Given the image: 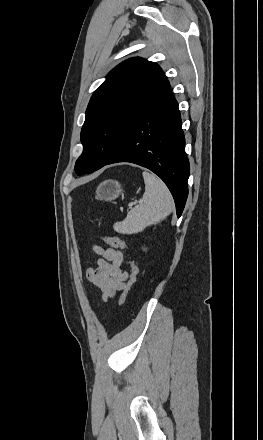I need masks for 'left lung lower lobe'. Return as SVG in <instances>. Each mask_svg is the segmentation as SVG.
<instances>
[{
    "label": "left lung lower lobe",
    "mask_w": 263,
    "mask_h": 440,
    "mask_svg": "<svg viewBox=\"0 0 263 440\" xmlns=\"http://www.w3.org/2000/svg\"><path fill=\"white\" fill-rule=\"evenodd\" d=\"M117 162L135 163L157 174L174 198L178 218L181 216L190 165L178 103L168 80L135 116L119 149L105 165Z\"/></svg>",
    "instance_id": "left-lung-lower-lobe-1"
}]
</instances>
